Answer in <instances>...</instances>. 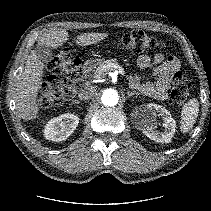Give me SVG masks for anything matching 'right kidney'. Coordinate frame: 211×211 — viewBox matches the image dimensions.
<instances>
[{
	"label": "right kidney",
	"mask_w": 211,
	"mask_h": 211,
	"mask_svg": "<svg viewBox=\"0 0 211 211\" xmlns=\"http://www.w3.org/2000/svg\"><path fill=\"white\" fill-rule=\"evenodd\" d=\"M78 123V116L70 113L53 118L45 126V138L55 142L64 141L74 132Z\"/></svg>",
	"instance_id": "ca27d5eb"
}]
</instances>
